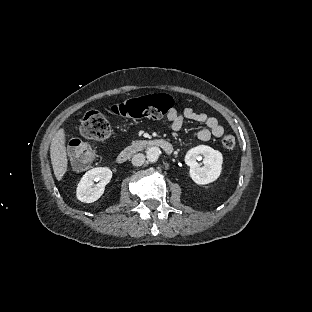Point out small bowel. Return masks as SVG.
Listing matches in <instances>:
<instances>
[{"instance_id":"c3829d8e","label":"small bowel","mask_w":312,"mask_h":312,"mask_svg":"<svg viewBox=\"0 0 312 312\" xmlns=\"http://www.w3.org/2000/svg\"><path fill=\"white\" fill-rule=\"evenodd\" d=\"M186 121L201 123L206 126L197 133V137L201 141H207L211 137L219 138L224 134L223 126L215 117L198 112L191 107H186L183 110L172 107L165 117L167 128L172 132H180Z\"/></svg>"}]
</instances>
